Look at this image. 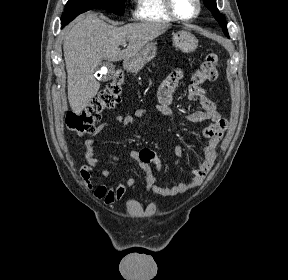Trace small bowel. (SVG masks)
<instances>
[{
    "label": "small bowel",
    "mask_w": 288,
    "mask_h": 280,
    "mask_svg": "<svg viewBox=\"0 0 288 280\" xmlns=\"http://www.w3.org/2000/svg\"><path fill=\"white\" fill-rule=\"evenodd\" d=\"M184 72L181 69L174 70L161 84L158 89L157 97L159 104L156 110L163 115L174 120L172 110L173 93L183 79ZM188 97L192 101H197L201 105V109L187 115V120L191 122L210 121L211 123L203 129V136L206 138V143L203 146L202 160L192 171V177L189 181L179 183L177 185L166 187L158 184L156 173L163 170L161 159L149 148H141L137 151L129 153V157L136 160L145 173L146 191L152 192L160 196H175L189 192L200 186L217 158V147L227 129V121L220 115L215 103L208 97L207 92L201 86L192 83L188 87ZM147 114L146 109H137L132 115L116 116L112 122L120 124L123 129H129L136 118H141ZM110 122L100 124L85 140V156L88 164L81 168L80 174L85 180L87 188L92 190L94 197L97 200L103 201L106 205H113L119 202L126 194L135 180L131 176H127L123 182H116L113 185H105L101 182L93 184L91 182V172L95 168L100 167V161L94 155L95 137L99 135ZM177 156L182 155V148L177 146L175 149ZM113 161L117 158L107 155ZM100 175L103 178L110 176V171L107 168L100 169Z\"/></svg>",
    "instance_id": "1"
}]
</instances>
